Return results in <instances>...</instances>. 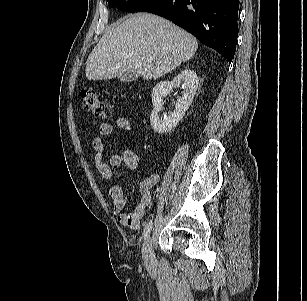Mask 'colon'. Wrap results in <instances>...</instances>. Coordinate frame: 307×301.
I'll list each match as a JSON object with an SVG mask.
<instances>
[{
	"mask_svg": "<svg viewBox=\"0 0 307 301\" xmlns=\"http://www.w3.org/2000/svg\"><path fill=\"white\" fill-rule=\"evenodd\" d=\"M81 104L83 109L99 118L105 116V108L99 95L92 90L81 91Z\"/></svg>",
	"mask_w": 307,
	"mask_h": 301,
	"instance_id": "1",
	"label": "colon"
}]
</instances>
